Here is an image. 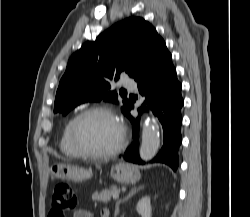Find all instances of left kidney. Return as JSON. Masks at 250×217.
Returning <instances> with one entry per match:
<instances>
[{"label":"left kidney","instance_id":"left-kidney-1","mask_svg":"<svg viewBox=\"0 0 250 217\" xmlns=\"http://www.w3.org/2000/svg\"><path fill=\"white\" fill-rule=\"evenodd\" d=\"M137 212L141 215V217H151V203L150 197L145 196L139 200L136 206Z\"/></svg>","mask_w":250,"mask_h":217}]
</instances>
